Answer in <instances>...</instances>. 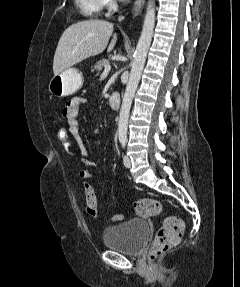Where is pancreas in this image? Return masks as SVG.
<instances>
[{
	"label": "pancreas",
	"instance_id": "cf45deb5",
	"mask_svg": "<svg viewBox=\"0 0 240 287\" xmlns=\"http://www.w3.org/2000/svg\"><path fill=\"white\" fill-rule=\"evenodd\" d=\"M109 65V60L108 59H102L98 61L91 69L92 72H96V75H99V72L102 71V69L106 66Z\"/></svg>",
	"mask_w": 240,
	"mask_h": 287
}]
</instances>
